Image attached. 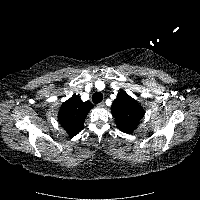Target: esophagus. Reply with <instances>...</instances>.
<instances>
[{"label":"esophagus","mask_w":200,"mask_h":200,"mask_svg":"<svg viewBox=\"0 0 200 200\" xmlns=\"http://www.w3.org/2000/svg\"><path fill=\"white\" fill-rule=\"evenodd\" d=\"M97 106L103 108V107H105V103H104V102H101V103H99Z\"/></svg>","instance_id":"obj_1"}]
</instances>
